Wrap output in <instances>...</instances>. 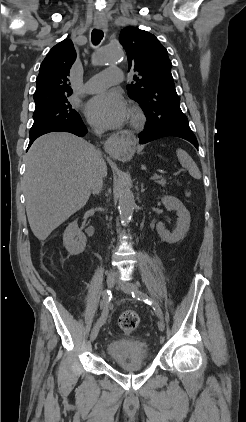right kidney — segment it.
Here are the masks:
<instances>
[{"label":"right kidney","instance_id":"obj_1","mask_svg":"<svg viewBox=\"0 0 246 422\" xmlns=\"http://www.w3.org/2000/svg\"><path fill=\"white\" fill-rule=\"evenodd\" d=\"M63 243L71 255H78L84 251L86 236L79 229L77 221L70 223L64 231Z\"/></svg>","mask_w":246,"mask_h":422}]
</instances>
